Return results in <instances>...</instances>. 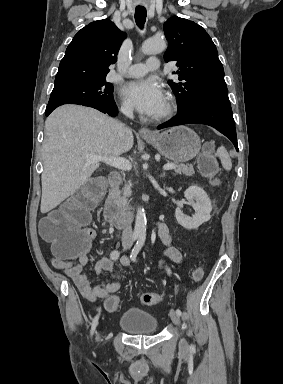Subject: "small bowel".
I'll return each mask as SVG.
<instances>
[{
    "label": "small bowel",
    "instance_id": "obj_1",
    "mask_svg": "<svg viewBox=\"0 0 283 384\" xmlns=\"http://www.w3.org/2000/svg\"><path fill=\"white\" fill-rule=\"evenodd\" d=\"M156 228L162 243L166 246L165 256L173 262L180 263L182 254L172 246V239L167 225L163 222H157ZM51 262L56 269L61 270L68 276L77 286L81 295L91 302L108 297L117 292L122 285V276L113 272V261L109 257L101 258L94 266L93 275L95 277H100L104 272L111 277V281H100L98 285H92L90 277L82 272L83 267L88 262L87 255L80 256L76 262L66 261L54 255ZM121 264L129 266L131 261L128 257H123Z\"/></svg>",
    "mask_w": 283,
    "mask_h": 384
}]
</instances>
